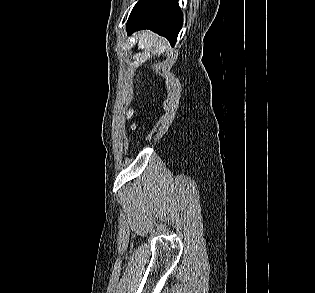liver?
<instances>
[{
	"label": "liver",
	"instance_id": "6515ba94",
	"mask_svg": "<svg viewBox=\"0 0 315 293\" xmlns=\"http://www.w3.org/2000/svg\"><path fill=\"white\" fill-rule=\"evenodd\" d=\"M161 47L168 48L167 42L164 39L158 38L155 34L150 31H144L139 34L138 48L150 50L151 48ZM131 111L127 113V118L131 117Z\"/></svg>",
	"mask_w": 315,
	"mask_h": 293
}]
</instances>
